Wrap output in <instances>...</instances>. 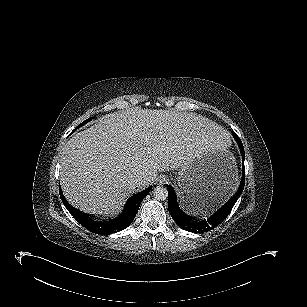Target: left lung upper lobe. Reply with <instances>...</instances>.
Segmentation results:
<instances>
[{"label":"left lung upper lobe","mask_w":307,"mask_h":307,"mask_svg":"<svg viewBox=\"0 0 307 307\" xmlns=\"http://www.w3.org/2000/svg\"><path fill=\"white\" fill-rule=\"evenodd\" d=\"M233 134L235 135L234 138H235V140L237 141V143H238V142H241L240 138H239L234 132H233Z\"/></svg>","instance_id":"5c2ea615"}]
</instances>
